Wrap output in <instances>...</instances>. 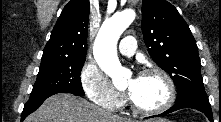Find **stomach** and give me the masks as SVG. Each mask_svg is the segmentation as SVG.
<instances>
[{
    "instance_id": "obj_1",
    "label": "stomach",
    "mask_w": 221,
    "mask_h": 122,
    "mask_svg": "<svg viewBox=\"0 0 221 122\" xmlns=\"http://www.w3.org/2000/svg\"><path fill=\"white\" fill-rule=\"evenodd\" d=\"M147 122H170V121H168L166 119H162V118H157V119H151Z\"/></svg>"
}]
</instances>
